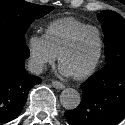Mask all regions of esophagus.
Segmentation results:
<instances>
[{
  "label": "esophagus",
  "mask_w": 125,
  "mask_h": 125,
  "mask_svg": "<svg viewBox=\"0 0 125 125\" xmlns=\"http://www.w3.org/2000/svg\"><path fill=\"white\" fill-rule=\"evenodd\" d=\"M52 86L54 88H56V89H59V90H61V89H63L65 87L63 83H61V82H59L57 80L52 81Z\"/></svg>",
  "instance_id": "1"
}]
</instances>
